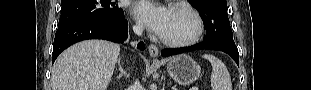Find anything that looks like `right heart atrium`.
<instances>
[{
	"label": "right heart atrium",
	"instance_id": "obj_1",
	"mask_svg": "<svg viewBox=\"0 0 311 90\" xmlns=\"http://www.w3.org/2000/svg\"><path fill=\"white\" fill-rule=\"evenodd\" d=\"M134 29L137 30V31L141 30V24L139 22H136L134 24Z\"/></svg>",
	"mask_w": 311,
	"mask_h": 90
}]
</instances>
